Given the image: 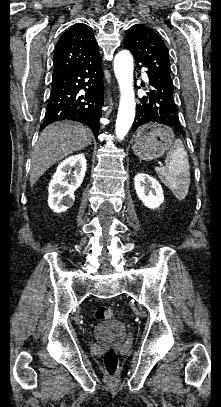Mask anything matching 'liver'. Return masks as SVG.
<instances>
[{
    "label": "liver",
    "mask_w": 221,
    "mask_h": 407,
    "mask_svg": "<svg viewBox=\"0 0 221 407\" xmlns=\"http://www.w3.org/2000/svg\"><path fill=\"white\" fill-rule=\"evenodd\" d=\"M93 134L86 126L70 121L48 125L39 135L31 155L30 185L52 165L91 144Z\"/></svg>",
    "instance_id": "obj_1"
}]
</instances>
